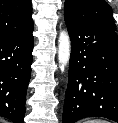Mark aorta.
Instances as JSON below:
<instances>
[{"label":"aorta","mask_w":118,"mask_h":123,"mask_svg":"<svg viewBox=\"0 0 118 123\" xmlns=\"http://www.w3.org/2000/svg\"><path fill=\"white\" fill-rule=\"evenodd\" d=\"M70 52V37L66 31H62L58 39V62L62 72L69 62Z\"/></svg>","instance_id":"762f6f07"}]
</instances>
